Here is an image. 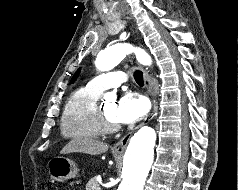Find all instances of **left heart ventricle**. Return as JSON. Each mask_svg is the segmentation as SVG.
Wrapping results in <instances>:
<instances>
[{
    "mask_svg": "<svg viewBox=\"0 0 238 190\" xmlns=\"http://www.w3.org/2000/svg\"><path fill=\"white\" fill-rule=\"evenodd\" d=\"M116 109H117V103L115 102H110L106 103L105 105L102 106V110L106 114V116L114 122H118L116 118Z\"/></svg>",
    "mask_w": 238,
    "mask_h": 190,
    "instance_id": "left-heart-ventricle-1",
    "label": "left heart ventricle"
}]
</instances>
